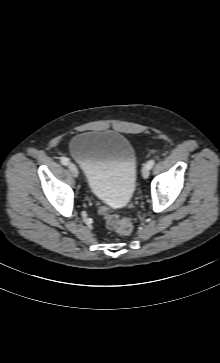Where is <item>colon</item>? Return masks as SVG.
I'll return each mask as SVG.
<instances>
[{"label": "colon", "instance_id": "5ec220e1", "mask_svg": "<svg viewBox=\"0 0 220 363\" xmlns=\"http://www.w3.org/2000/svg\"><path fill=\"white\" fill-rule=\"evenodd\" d=\"M100 212L104 216L106 225L109 229L115 231L117 234L122 236H126L132 233L134 229V224L130 218L111 213L105 206H102L100 208Z\"/></svg>", "mask_w": 220, "mask_h": 363}]
</instances>
